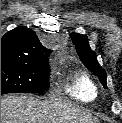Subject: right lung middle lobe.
Instances as JSON below:
<instances>
[{
  "instance_id": "right-lung-middle-lobe-1",
  "label": "right lung middle lobe",
  "mask_w": 122,
  "mask_h": 123,
  "mask_svg": "<svg viewBox=\"0 0 122 123\" xmlns=\"http://www.w3.org/2000/svg\"><path fill=\"white\" fill-rule=\"evenodd\" d=\"M48 60L1 57V95L43 93L49 88Z\"/></svg>"
}]
</instances>
